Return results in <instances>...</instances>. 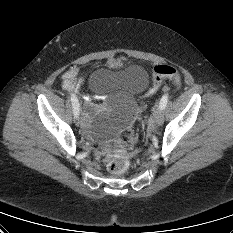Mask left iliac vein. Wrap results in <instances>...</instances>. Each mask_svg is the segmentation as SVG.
<instances>
[{
	"label": "left iliac vein",
	"instance_id": "1",
	"mask_svg": "<svg viewBox=\"0 0 233 233\" xmlns=\"http://www.w3.org/2000/svg\"><path fill=\"white\" fill-rule=\"evenodd\" d=\"M153 120L157 125H161L164 121V114L162 109L160 108V105H157L153 112Z\"/></svg>",
	"mask_w": 233,
	"mask_h": 233
}]
</instances>
